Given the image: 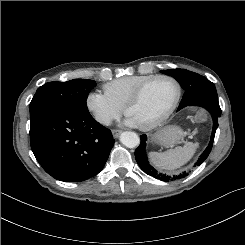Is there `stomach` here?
Returning a JSON list of instances; mask_svg holds the SVG:
<instances>
[{
	"mask_svg": "<svg viewBox=\"0 0 245 245\" xmlns=\"http://www.w3.org/2000/svg\"><path fill=\"white\" fill-rule=\"evenodd\" d=\"M183 137V131L178 126H166L159 129L153 139L163 146H173L178 144Z\"/></svg>",
	"mask_w": 245,
	"mask_h": 245,
	"instance_id": "0dacf381",
	"label": "stomach"
}]
</instances>
